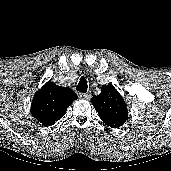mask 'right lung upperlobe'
<instances>
[{"mask_svg":"<svg viewBox=\"0 0 171 171\" xmlns=\"http://www.w3.org/2000/svg\"><path fill=\"white\" fill-rule=\"evenodd\" d=\"M76 99L72 89L49 81L34 95L31 113L44 126H51L65 115L67 107Z\"/></svg>","mask_w":171,"mask_h":171,"instance_id":"obj_1","label":"right lung upper lobe"}]
</instances>
